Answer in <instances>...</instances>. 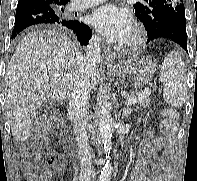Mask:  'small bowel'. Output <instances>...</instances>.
I'll list each match as a JSON object with an SVG mask.
<instances>
[{
  "mask_svg": "<svg viewBox=\"0 0 197 181\" xmlns=\"http://www.w3.org/2000/svg\"><path fill=\"white\" fill-rule=\"evenodd\" d=\"M165 148L166 142L162 137H157L152 133L147 134L140 143L138 157L131 172V181H162L161 165H172L170 161L160 160L158 157V152Z\"/></svg>",
  "mask_w": 197,
  "mask_h": 181,
  "instance_id": "c3829d8e",
  "label": "small bowel"
}]
</instances>
